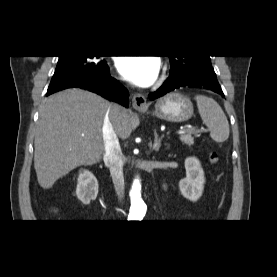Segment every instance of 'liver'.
<instances>
[{"mask_svg":"<svg viewBox=\"0 0 277 277\" xmlns=\"http://www.w3.org/2000/svg\"><path fill=\"white\" fill-rule=\"evenodd\" d=\"M115 104L81 89L55 93L39 108L34 140V168L39 185L51 188L61 177L81 165L99 162L104 152L103 122ZM115 132L121 139L131 134L130 116L121 107L111 110Z\"/></svg>","mask_w":277,"mask_h":277,"instance_id":"liver-1","label":"liver"}]
</instances>
